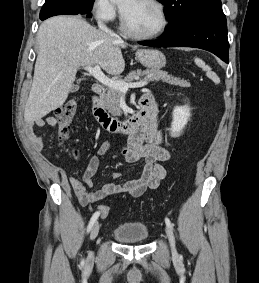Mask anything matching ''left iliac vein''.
<instances>
[{
  "label": "left iliac vein",
  "instance_id": "1",
  "mask_svg": "<svg viewBox=\"0 0 259 283\" xmlns=\"http://www.w3.org/2000/svg\"><path fill=\"white\" fill-rule=\"evenodd\" d=\"M165 231H166V235L169 240V243H170L172 254L177 255V251L175 247V237H174L173 231L168 226L165 227Z\"/></svg>",
  "mask_w": 259,
  "mask_h": 283
}]
</instances>
